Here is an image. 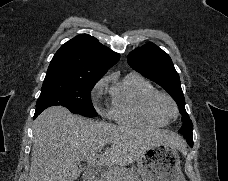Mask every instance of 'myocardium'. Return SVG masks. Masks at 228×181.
<instances>
[{"mask_svg": "<svg viewBox=\"0 0 228 181\" xmlns=\"http://www.w3.org/2000/svg\"><path fill=\"white\" fill-rule=\"evenodd\" d=\"M163 102L167 104V108L161 106ZM146 109L150 115L159 118H167L176 113L173 101L169 97L158 93L148 98Z\"/></svg>", "mask_w": 228, "mask_h": 181, "instance_id": "myocardium-1", "label": "myocardium"}]
</instances>
